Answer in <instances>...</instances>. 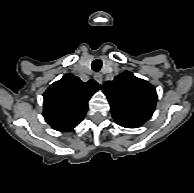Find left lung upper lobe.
<instances>
[{
  "mask_svg": "<svg viewBox=\"0 0 194 193\" xmlns=\"http://www.w3.org/2000/svg\"><path fill=\"white\" fill-rule=\"evenodd\" d=\"M102 90L111 105L112 116L119 125L141 126L155 110V87L131 72H124L113 81L105 82Z\"/></svg>",
  "mask_w": 194,
  "mask_h": 193,
  "instance_id": "5c2ea615",
  "label": "left lung upper lobe"
}]
</instances>
